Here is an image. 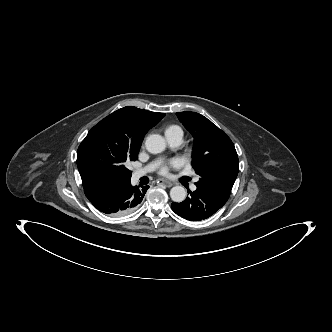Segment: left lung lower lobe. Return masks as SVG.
<instances>
[{"label": "left lung lower lobe", "mask_w": 332, "mask_h": 332, "mask_svg": "<svg viewBox=\"0 0 332 332\" xmlns=\"http://www.w3.org/2000/svg\"><path fill=\"white\" fill-rule=\"evenodd\" d=\"M224 204L197 188L195 191L190 192V196L183 202L172 203L171 208L176 214L186 220L201 221L215 214Z\"/></svg>", "instance_id": "obj_1"}]
</instances>
